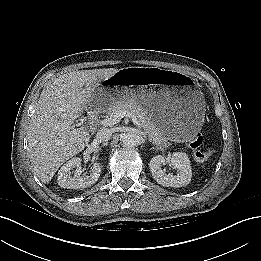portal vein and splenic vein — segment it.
Listing matches in <instances>:
<instances>
[{
    "instance_id": "obj_1",
    "label": "portal vein and splenic vein",
    "mask_w": 261,
    "mask_h": 261,
    "mask_svg": "<svg viewBox=\"0 0 261 261\" xmlns=\"http://www.w3.org/2000/svg\"><path fill=\"white\" fill-rule=\"evenodd\" d=\"M124 117L130 118L136 126L141 127V124L138 121L137 117L133 115L132 112L127 110L117 111L114 114L107 117L106 119L100 120L99 123L102 124L103 126H113L116 123H119L121 119Z\"/></svg>"
}]
</instances>
